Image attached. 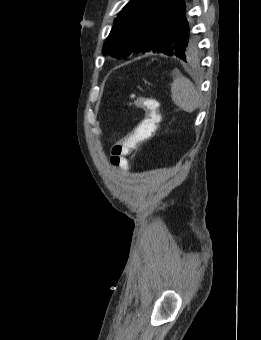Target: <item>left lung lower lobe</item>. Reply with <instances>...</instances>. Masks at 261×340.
Instances as JSON below:
<instances>
[{
  "instance_id": "left-lung-lower-lobe-1",
  "label": "left lung lower lobe",
  "mask_w": 261,
  "mask_h": 340,
  "mask_svg": "<svg viewBox=\"0 0 261 340\" xmlns=\"http://www.w3.org/2000/svg\"><path fill=\"white\" fill-rule=\"evenodd\" d=\"M160 12L165 13L168 19L178 20L181 16L186 14L185 1L184 0H166ZM156 53H164L166 55H169V52L163 49Z\"/></svg>"
}]
</instances>
